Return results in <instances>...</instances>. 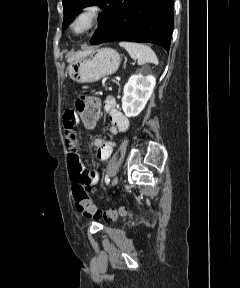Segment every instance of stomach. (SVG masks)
I'll return each mask as SVG.
<instances>
[{"mask_svg":"<svg viewBox=\"0 0 240 288\" xmlns=\"http://www.w3.org/2000/svg\"><path fill=\"white\" fill-rule=\"evenodd\" d=\"M120 55L111 48L85 51L68 60L67 72L76 82H94L115 73L120 66Z\"/></svg>","mask_w":240,"mask_h":288,"instance_id":"1","label":"stomach"}]
</instances>
